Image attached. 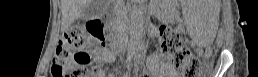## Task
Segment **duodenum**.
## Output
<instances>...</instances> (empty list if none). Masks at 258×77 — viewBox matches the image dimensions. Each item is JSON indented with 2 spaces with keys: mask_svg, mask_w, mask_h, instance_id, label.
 <instances>
[{
  "mask_svg": "<svg viewBox=\"0 0 258 77\" xmlns=\"http://www.w3.org/2000/svg\"><path fill=\"white\" fill-rule=\"evenodd\" d=\"M100 27H101V24L98 20H90L87 23V29L89 33H95L96 31H98ZM116 46H117V49L122 50V46L119 40L116 41Z\"/></svg>",
  "mask_w": 258,
  "mask_h": 77,
  "instance_id": "obj_1",
  "label": "duodenum"
}]
</instances>
